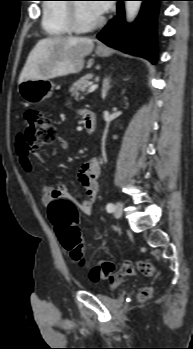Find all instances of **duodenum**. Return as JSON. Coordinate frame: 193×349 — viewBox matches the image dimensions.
<instances>
[{"label": "duodenum", "mask_w": 193, "mask_h": 349, "mask_svg": "<svg viewBox=\"0 0 193 349\" xmlns=\"http://www.w3.org/2000/svg\"><path fill=\"white\" fill-rule=\"evenodd\" d=\"M84 118H85V130L88 135H93L96 127V117L95 114L86 111L84 113Z\"/></svg>", "instance_id": "obj_1"}]
</instances>
